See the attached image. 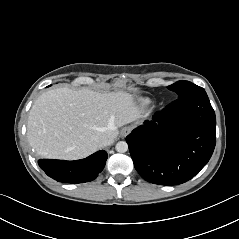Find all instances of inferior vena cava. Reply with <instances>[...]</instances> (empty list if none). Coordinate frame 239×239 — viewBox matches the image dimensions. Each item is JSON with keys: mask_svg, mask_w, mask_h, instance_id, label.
<instances>
[{"mask_svg": "<svg viewBox=\"0 0 239 239\" xmlns=\"http://www.w3.org/2000/svg\"><path fill=\"white\" fill-rule=\"evenodd\" d=\"M112 143H113V139L107 136L102 137L99 141V145L101 147L111 145Z\"/></svg>", "mask_w": 239, "mask_h": 239, "instance_id": "obj_1", "label": "inferior vena cava"}]
</instances>
